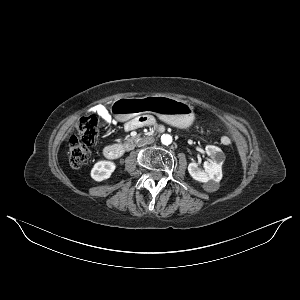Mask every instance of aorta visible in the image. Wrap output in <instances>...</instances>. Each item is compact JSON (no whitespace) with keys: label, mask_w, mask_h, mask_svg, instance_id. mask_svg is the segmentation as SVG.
<instances>
[{"label":"aorta","mask_w":300,"mask_h":300,"mask_svg":"<svg viewBox=\"0 0 300 300\" xmlns=\"http://www.w3.org/2000/svg\"><path fill=\"white\" fill-rule=\"evenodd\" d=\"M161 142L163 145H170L172 143V136L170 134H163L161 136Z\"/></svg>","instance_id":"obj_1"}]
</instances>
